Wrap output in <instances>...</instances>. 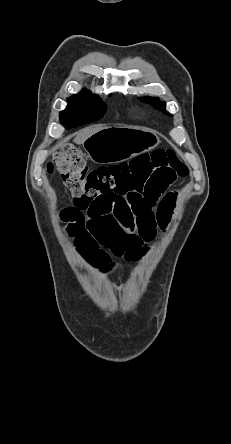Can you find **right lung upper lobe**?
<instances>
[{"label":"right lung upper lobe","mask_w":231,"mask_h":444,"mask_svg":"<svg viewBox=\"0 0 231 444\" xmlns=\"http://www.w3.org/2000/svg\"><path fill=\"white\" fill-rule=\"evenodd\" d=\"M79 94H92L90 91H88L87 89H84L82 92H80Z\"/></svg>","instance_id":"right-lung-upper-lobe-1"}]
</instances>
